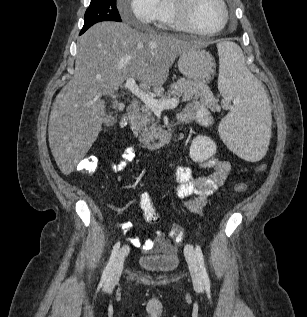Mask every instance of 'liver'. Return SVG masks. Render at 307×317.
<instances>
[{"mask_svg": "<svg viewBox=\"0 0 307 317\" xmlns=\"http://www.w3.org/2000/svg\"><path fill=\"white\" fill-rule=\"evenodd\" d=\"M208 44L117 22L87 30L77 41L74 76L57 95L49 118V145L61 172L72 173L96 140L105 121L102 96L114 94L128 78L142 87H161L183 51Z\"/></svg>", "mask_w": 307, "mask_h": 317, "instance_id": "6515ba94", "label": "liver"}]
</instances>
